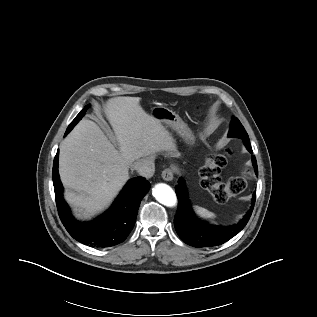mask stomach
<instances>
[{
  "instance_id": "0dacf381",
  "label": "stomach",
  "mask_w": 317,
  "mask_h": 317,
  "mask_svg": "<svg viewBox=\"0 0 317 317\" xmlns=\"http://www.w3.org/2000/svg\"><path fill=\"white\" fill-rule=\"evenodd\" d=\"M151 116L166 127L176 131L187 143L193 144L194 136L188 126L178 114L165 106H155L151 109Z\"/></svg>"
}]
</instances>
